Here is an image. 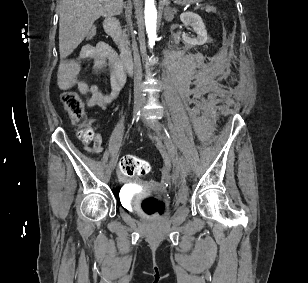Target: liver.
I'll return each instance as SVG.
<instances>
[{"instance_id": "1", "label": "liver", "mask_w": 308, "mask_h": 283, "mask_svg": "<svg viewBox=\"0 0 308 283\" xmlns=\"http://www.w3.org/2000/svg\"><path fill=\"white\" fill-rule=\"evenodd\" d=\"M123 6V0H60V57L66 58L74 51L98 18L119 14Z\"/></svg>"}]
</instances>
